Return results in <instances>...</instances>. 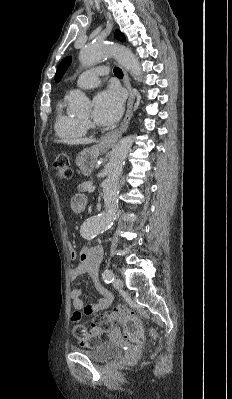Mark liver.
Listing matches in <instances>:
<instances>
[{"label":"liver","mask_w":232,"mask_h":399,"mask_svg":"<svg viewBox=\"0 0 232 399\" xmlns=\"http://www.w3.org/2000/svg\"><path fill=\"white\" fill-rule=\"evenodd\" d=\"M57 142H66V144H92L94 140H89V138H74V140H57Z\"/></svg>","instance_id":"liver-1"}]
</instances>
